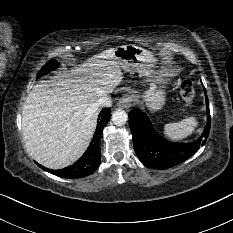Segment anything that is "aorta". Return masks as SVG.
<instances>
[{"label": "aorta", "instance_id": "762f6f07", "mask_svg": "<svg viewBox=\"0 0 233 233\" xmlns=\"http://www.w3.org/2000/svg\"><path fill=\"white\" fill-rule=\"evenodd\" d=\"M112 121L116 126H122L126 124L128 120V115L124 110L118 109L112 114Z\"/></svg>", "mask_w": 233, "mask_h": 233}]
</instances>
